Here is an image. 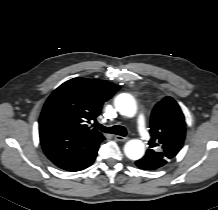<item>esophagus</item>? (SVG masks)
<instances>
[{"mask_svg": "<svg viewBox=\"0 0 218 210\" xmlns=\"http://www.w3.org/2000/svg\"><path fill=\"white\" fill-rule=\"evenodd\" d=\"M114 138L117 141H120V142H126L129 139L128 137H123V136H120V135H115Z\"/></svg>", "mask_w": 218, "mask_h": 210, "instance_id": "1", "label": "esophagus"}]
</instances>
